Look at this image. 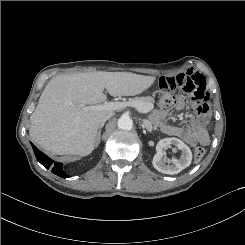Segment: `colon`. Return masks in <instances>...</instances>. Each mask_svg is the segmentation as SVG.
<instances>
[{
    "instance_id": "1",
    "label": "colon",
    "mask_w": 245,
    "mask_h": 245,
    "mask_svg": "<svg viewBox=\"0 0 245 245\" xmlns=\"http://www.w3.org/2000/svg\"><path fill=\"white\" fill-rule=\"evenodd\" d=\"M159 104L163 109H170L176 104V98L171 94V90L163 91L159 98ZM206 154V150L202 147H197L194 150V160L200 162Z\"/></svg>"
}]
</instances>
